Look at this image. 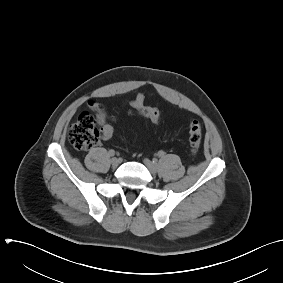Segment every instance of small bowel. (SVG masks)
I'll return each instance as SVG.
<instances>
[{
	"label": "small bowel",
	"instance_id": "1",
	"mask_svg": "<svg viewBox=\"0 0 283 283\" xmlns=\"http://www.w3.org/2000/svg\"><path fill=\"white\" fill-rule=\"evenodd\" d=\"M144 98V94H138L137 97L130 102V106L136 109L143 106ZM88 105L95 112L97 123L103 126L107 122V113L104 105L97 100H90Z\"/></svg>",
	"mask_w": 283,
	"mask_h": 283
}]
</instances>
